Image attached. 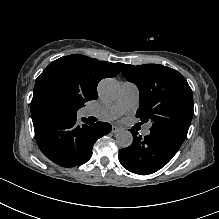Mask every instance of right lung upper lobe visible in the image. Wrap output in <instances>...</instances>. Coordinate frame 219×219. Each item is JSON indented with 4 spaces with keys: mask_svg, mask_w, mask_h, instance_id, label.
<instances>
[{
    "mask_svg": "<svg viewBox=\"0 0 219 219\" xmlns=\"http://www.w3.org/2000/svg\"><path fill=\"white\" fill-rule=\"evenodd\" d=\"M122 67V63L99 61L80 54L54 60L36 80L30 105L31 113L39 111L38 99L50 86H60L69 90L84 106L85 102L98 98L99 81L116 76Z\"/></svg>",
    "mask_w": 219,
    "mask_h": 219,
    "instance_id": "1",
    "label": "right lung upper lobe"
}]
</instances>
